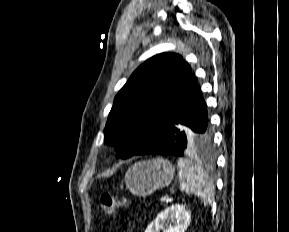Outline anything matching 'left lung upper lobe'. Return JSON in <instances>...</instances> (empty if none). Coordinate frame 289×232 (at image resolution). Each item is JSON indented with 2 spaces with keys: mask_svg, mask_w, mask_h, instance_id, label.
Wrapping results in <instances>:
<instances>
[{
  "mask_svg": "<svg viewBox=\"0 0 289 232\" xmlns=\"http://www.w3.org/2000/svg\"><path fill=\"white\" fill-rule=\"evenodd\" d=\"M196 84L178 54H159L140 65L116 95L104 130L117 158L127 159L144 147Z\"/></svg>",
  "mask_w": 289,
  "mask_h": 232,
  "instance_id": "1",
  "label": "left lung upper lobe"
}]
</instances>
